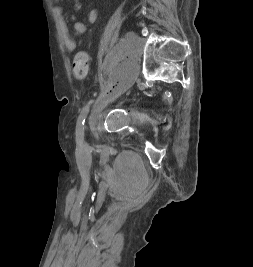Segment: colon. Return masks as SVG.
Masks as SVG:
<instances>
[{
  "label": "colon",
  "instance_id": "1",
  "mask_svg": "<svg viewBox=\"0 0 253 267\" xmlns=\"http://www.w3.org/2000/svg\"><path fill=\"white\" fill-rule=\"evenodd\" d=\"M73 75L77 79H83L88 73V56L85 52H78L73 59Z\"/></svg>",
  "mask_w": 253,
  "mask_h": 267
}]
</instances>
